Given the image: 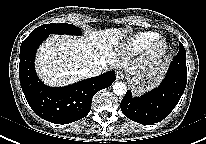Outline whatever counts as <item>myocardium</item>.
<instances>
[{
    "mask_svg": "<svg viewBox=\"0 0 206 144\" xmlns=\"http://www.w3.org/2000/svg\"><path fill=\"white\" fill-rule=\"evenodd\" d=\"M168 50V41L162 36L154 38L144 51V61L153 64L163 58Z\"/></svg>",
    "mask_w": 206,
    "mask_h": 144,
    "instance_id": "myocardium-1",
    "label": "myocardium"
}]
</instances>
